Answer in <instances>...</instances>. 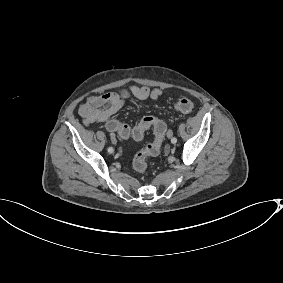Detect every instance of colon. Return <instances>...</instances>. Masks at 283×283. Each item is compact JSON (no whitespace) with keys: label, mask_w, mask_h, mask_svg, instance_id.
<instances>
[{"label":"colon","mask_w":283,"mask_h":283,"mask_svg":"<svg viewBox=\"0 0 283 283\" xmlns=\"http://www.w3.org/2000/svg\"><path fill=\"white\" fill-rule=\"evenodd\" d=\"M194 102L188 98H181L175 103V109L182 113L191 112L194 109ZM106 128L111 133H116L122 138L131 137L134 140L142 139L144 132L150 128L154 132V140L147 145L143 150L136 153L133 158V168L139 174H144L147 170V158L157 156L160 153L162 141L165 136V123L153 116L144 117L140 123L132 130L126 124L119 122L116 119H109L106 122Z\"/></svg>","instance_id":"colon-1"}]
</instances>
